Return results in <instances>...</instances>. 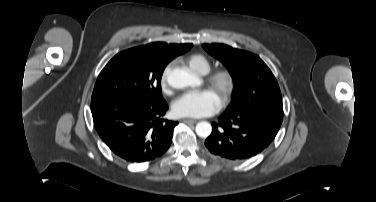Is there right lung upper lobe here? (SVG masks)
Wrapping results in <instances>:
<instances>
[{
  "label": "right lung upper lobe",
  "mask_w": 376,
  "mask_h": 202,
  "mask_svg": "<svg viewBox=\"0 0 376 202\" xmlns=\"http://www.w3.org/2000/svg\"><path fill=\"white\" fill-rule=\"evenodd\" d=\"M192 44H166L163 42L150 43L145 46L136 47L142 51L152 66H158L170 62L185 49L191 48Z\"/></svg>",
  "instance_id": "obj_1"
}]
</instances>
